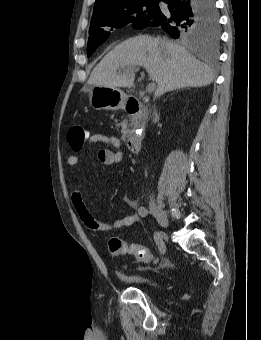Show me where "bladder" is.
Returning <instances> with one entry per match:
<instances>
[{
    "mask_svg": "<svg viewBox=\"0 0 261 340\" xmlns=\"http://www.w3.org/2000/svg\"><path fill=\"white\" fill-rule=\"evenodd\" d=\"M120 278L122 280H125L130 283H134V284H146V285H150L153 287H158V284L155 282L154 279L139 276V275H125L123 273H120Z\"/></svg>",
    "mask_w": 261,
    "mask_h": 340,
    "instance_id": "bladder-1",
    "label": "bladder"
}]
</instances>
